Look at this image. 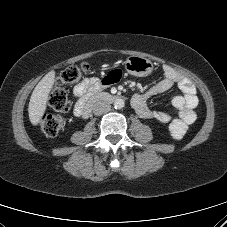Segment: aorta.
I'll return each instance as SVG.
<instances>
[{"instance_id": "obj_1", "label": "aorta", "mask_w": 227, "mask_h": 227, "mask_svg": "<svg viewBox=\"0 0 227 227\" xmlns=\"http://www.w3.org/2000/svg\"><path fill=\"white\" fill-rule=\"evenodd\" d=\"M124 105H125V102H124V100L121 99V98H118V99H116V100L114 101V107H115L116 109H121V108L124 107Z\"/></svg>"}]
</instances>
